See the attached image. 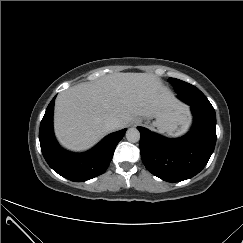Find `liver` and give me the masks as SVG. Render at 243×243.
Listing matches in <instances>:
<instances>
[{
	"label": "liver",
	"mask_w": 243,
	"mask_h": 243,
	"mask_svg": "<svg viewBox=\"0 0 243 243\" xmlns=\"http://www.w3.org/2000/svg\"><path fill=\"white\" fill-rule=\"evenodd\" d=\"M165 108L187 110L156 75L110 74L70 87L57 96L55 133L66 148L86 150L112 131L106 126L109 118H118L117 129H121L137 116L149 118Z\"/></svg>",
	"instance_id": "6515ba94"
}]
</instances>
